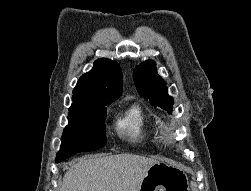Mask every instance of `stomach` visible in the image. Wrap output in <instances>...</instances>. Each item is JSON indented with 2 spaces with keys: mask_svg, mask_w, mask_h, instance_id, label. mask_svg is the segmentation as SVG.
<instances>
[{
  "mask_svg": "<svg viewBox=\"0 0 251 191\" xmlns=\"http://www.w3.org/2000/svg\"><path fill=\"white\" fill-rule=\"evenodd\" d=\"M140 191H189L188 177L183 169L157 161L148 169Z\"/></svg>",
  "mask_w": 251,
  "mask_h": 191,
  "instance_id": "stomach-1",
  "label": "stomach"
}]
</instances>
